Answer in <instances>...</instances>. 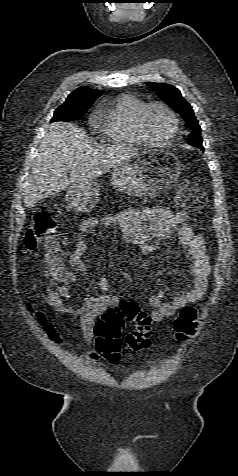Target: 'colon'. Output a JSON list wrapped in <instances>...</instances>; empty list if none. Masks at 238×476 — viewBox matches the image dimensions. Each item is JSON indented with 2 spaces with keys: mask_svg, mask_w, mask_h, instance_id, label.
<instances>
[{
  "mask_svg": "<svg viewBox=\"0 0 238 476\" xmlns=\"http://www.w3.org/2000/svg\"><path fill=\"white\" fill-rule=\"evenodd\" d=\"M177 204L187 210L202 209L207 202L204 191L195 183L182 180L176 196ZM57 223L46 209L37 210L25 236V247L33 252L40 247H47V272L56 282L69 281L61 256L55 248ZM200 313L196 308L184 307L173 321L175 337L179 341L191 338L199 327ZM133 323L135 329L125 338L128 349L139 352L150 346V316L141 310L136 302L122 301L102 314L96 324V348L107 360L116 363L121 351V329ZM49 337L56 334L51 324L45 326Z\"/></svg>",
  "mask_w": 238,
  "mask_h": 476,
  "instance_id": "obj_1",
  "label": "colon"
}]
</instances>
